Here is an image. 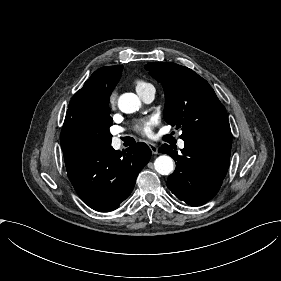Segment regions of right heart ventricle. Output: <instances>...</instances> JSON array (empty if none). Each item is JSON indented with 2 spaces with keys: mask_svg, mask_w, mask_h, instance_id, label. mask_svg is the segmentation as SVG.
Segmentation results:
<instances>
[{
  "mask_svg": "<svg viewBox=\"0 0 281 281\" xmlns=\"http://www.w3.org/2000/svg\"><path fill=\"white\" fill-rule=\"evenodd\" d=\"M133 86L138 94V96L142 99V94L146 92L147 89H150V85L147 83L141 81V80H136L133 83Z\"/></svg>",
  "mask_w": 281,
  "mask_h": 281,
  "instance_id": "obj_1",
  "label": "right heart ventricle"
}]
</instances>
